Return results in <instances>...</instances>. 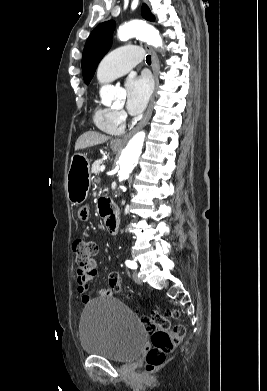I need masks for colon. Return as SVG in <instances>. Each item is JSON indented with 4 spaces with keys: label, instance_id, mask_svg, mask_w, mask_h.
I'll return each mask as SVG.
<instances>
[{
    "label": "colon",
    "instance_id": "1",
    "mask_svg": "<svg viewBox=\"0 0 267 391\" xmlns=\"http://www.w3.org/2000/svg\"><path fill=\"white\" fill-rule=\"evenodd\" d=\"M72 249L75 254L77 270L90 269L98 252L97 243L93 240L78 238L73 242ZM109 285L113 292L120 290L117 273L112 272L109 275ZM178 317L179 312L174 309L168 310L166 314L152 312L143 316L142 321L151 334V348L146 355L148 370L163 364L184 337L185 328L182 325L170 327L169 318L177 319Z\"/></svg>",
    "mask_w": 267,
    "mask_h": 391
}]
</instances>
